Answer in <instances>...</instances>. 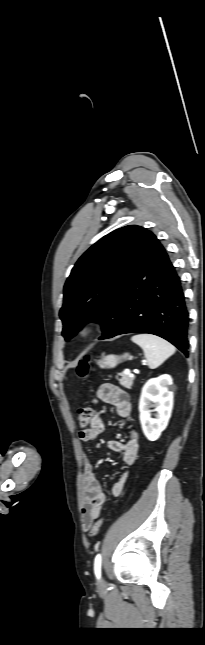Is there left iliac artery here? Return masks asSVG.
I'll use <instances>...</instances> for the list:
<instances>
[{"instance_id": "obj_1", "label": "left iliac artery", "mask_w": 205, "mask_h": 645, "mask_svg": "<svg viewBox=\"0 0 205 645\" xmlns=\"http://www.w3.org/2000/svg\"><path fill=\"white\" fill-rule=\"evenodd\" d=\"M94 572H95L96 577L99 579L100 576H101V555L100 554H98L95 557Z\"/></svg>"}]
</instances>
